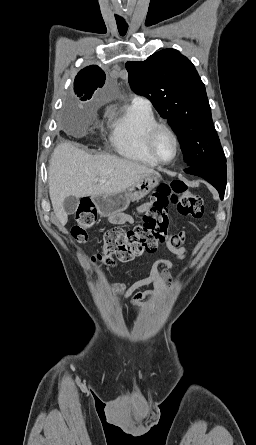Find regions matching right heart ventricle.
I'll list each match as a JSON object with an SVG mask.
<instances>
[{
    "label": "right heart ventricle",
    "instance_id": "right-heart-ventricle-1",
    "mask_svg": "<svg viewBox=\"0 0 256 445\" xmlns=\"http://www.w3.org/2000/svg\"><path fill=\"white\" fill-rule=\"evenodd\" d=\"M158 123L150 104L133 102L120 115L109 121V139L121 156L156 166L158 163L147 149V134L150 128Z\"/></svg>",
    "mask_w": 256,
    "mask_h": 445
}]
</instances>
